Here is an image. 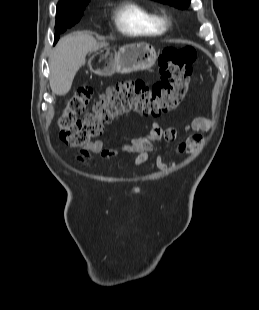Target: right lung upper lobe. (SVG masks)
Returning a JSON list of instances; mask_svg holds the SVG:
<instances>
[{
	"instance_id": "1",
	"label": "right lung upper lobe",
	"mask_w": 259,
	"mask_h": 310,
	"mask_svg": "<svg viewBox=\"0 0 259 310\" xmlns=\"http://www.w3.org/2000/svg\"><path fill=\"white\" fill-rule=\"evenodd\" d=\"M85 0H59L57 8H70L80 4Z\"/></svg>"
}]
</instances>
